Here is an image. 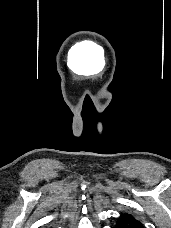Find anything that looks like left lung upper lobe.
Instances as JSON below:
<instances>
[{
	"label": "left lung upper lobe",
	"instance_id": "5c2ea615",
	"mask_svg": "<svg viewBox=\"0 0 171 228\" xmlns=\"http://www.w3.org/2000/svg\"><path fill=\"white\" fill-rule=\"evenodd\" d=\"M125 217L134 218V216H132L131 214H128V213H122V214H121V216L119 217V219H121V218H125Z\"/></svg>",
	"mask_w": 171,
	"mask_h": 228
}]
</instances>
